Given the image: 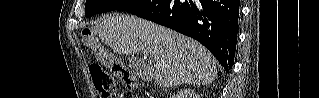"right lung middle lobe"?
I'll return each instance as SVG.
<instances>
[{
    "instance_id": "dd1d6c3e",
    "label": "right lung middle lobe",
    "mask_w": 319,
    "mask_h": 98,
    "mask_svg": "<svg viewBox=\"0 0 319 98\" xmlns=\"http://www.w3.org/2000/svg\"><path fill=\"white\" fill-rule=\"evenodd\" d=\"M148 0H86V17L112 10H131L144 5Z\"/></svg>"
}]
</instances>
